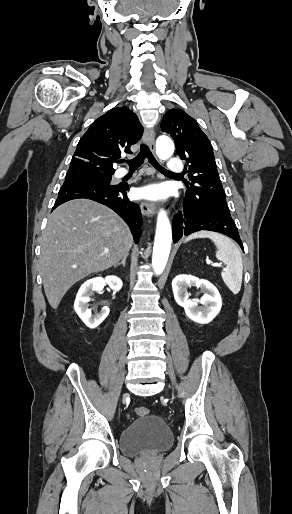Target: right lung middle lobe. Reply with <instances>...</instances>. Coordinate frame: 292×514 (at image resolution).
Masks as SVG:
<instances>
[{
	"mask_svg": "<svg viewBox=\"0 0 292 514\" xmlns=\"http://www.w3.org/2000/svg\"><path fill=\"white\" fill-rule=\"evenodd\" d=\"M113 173L103 172H68L65 180H89L100 183H110Z\"/></svg>",
	"mask_w": 292,
	"mask_h": 514,
	"instance_id": "obj_1",
	"label": "right lung middle lobe"
}]
</instances>
